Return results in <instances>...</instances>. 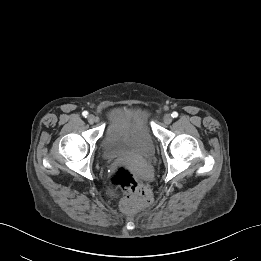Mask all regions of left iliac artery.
Returning a JSON list of instances; mask_svg holds the SVG:
<instances>
[{
    "instance_id": "obj_1",
    "label": "left iliac artery",
    "mask_w": 261,
    "mask_h": 261,
    "mask_svg": "<svg viewBox=\"0 0 261 261\" xmlns=\"http://www.w3.org/2000/svg\"><path fill=\"white\" fill-rule=\"evenodd\" d=\"M171 116H172L173 118H176V117L178 116V113L174 111V112L171 114Z\"/></svg>"
}]
</instances>
